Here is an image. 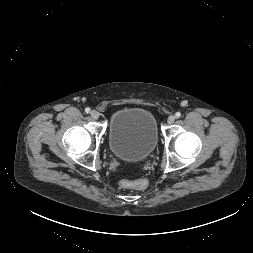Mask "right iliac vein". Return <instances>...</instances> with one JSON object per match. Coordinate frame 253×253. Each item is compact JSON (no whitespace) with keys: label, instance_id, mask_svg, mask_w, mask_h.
Here are the masks:
<instances>
[{"label":"right iliac vein","instance_id":"63e3f726","mask_svg":"<svg viewBox=\"0 0 253 253\" xmlns=\"http://www.w3.org/2000/svg\"><path fill=\"white\" fill-rule=\"evenodd\" d=\"M90 115H91V117L93 118V119H98L99 118V113L96 111V110H92L91 112H90Z\"/></svg>","mask_w":253,"mask_h":253}]
</instances>
